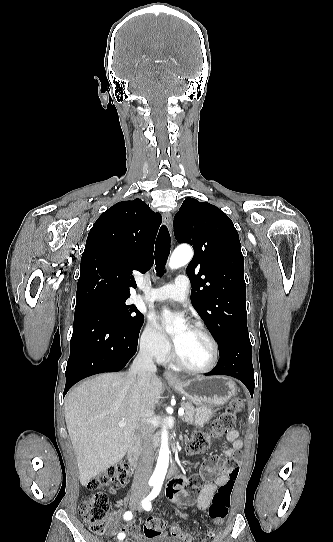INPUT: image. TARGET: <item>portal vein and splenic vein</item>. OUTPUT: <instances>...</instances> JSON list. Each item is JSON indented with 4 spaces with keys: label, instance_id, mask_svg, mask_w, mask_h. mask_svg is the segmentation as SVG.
<instances>
[{
    "label": "portal vein and splenic vein",
    "instance_id": "18ae733b",
    "mask_svg": "<svg viewBox=\"0 0 333 542\" xmlns=\"http://www.w3.org/2000/svg\"><path fill=\"white\" fill-rule=\"evenodd\" d=\"M178 416H184V408H179ZM118 426H126L125 420H121V422H119Z\"/></svg>",
    "mask_w": 333,
    "mask_h": 542
}]
</instances>
